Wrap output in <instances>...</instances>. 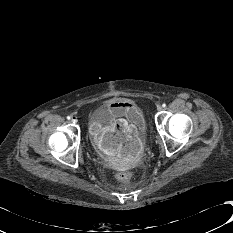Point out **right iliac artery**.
I'll use <instances>...</instances> for the list:
<instances>
[{"instance_id": "obj_1", "label": "right iliac artery", "mask_w": 233, "mask_h": 233, "mask_svg": "<svg viewBox=\"0 0 233 233\" xmlns=\"http://www.w3.org/2000/svg\"><path fill=\"white\" fill-rule=\"evenodd\" d=\"M67 119H68V120H70V119H71V117H70V116H67Z\"/></svg>"}]
</instances>
